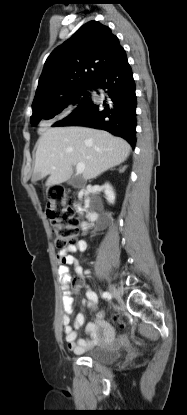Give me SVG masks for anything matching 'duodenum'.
<instances>
[{
    "label": "duodenum",
    "instance_id": "410a0bca",
    "mask_svg": "<svg viewBox=\"0 0 187 415\" xmlns=\"http://www.w3.org/2000/svg\"><path fill=\"white\" fill-rule=\"evenodd\" d=\"M82 190H83L84 192H86V191H87V187H86V186H84ZM77 209H78V210H80V209H81V207L78 205V206H77ZM83 226H84V228L86 229V228L88 227V223H84V225H83Z\"/></svg>",
    "mask_w": 187,
    "mask_h": 415
}]
</instances>
